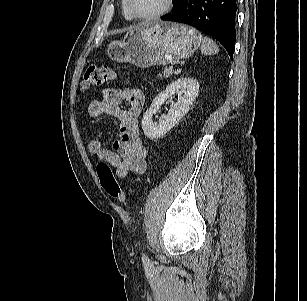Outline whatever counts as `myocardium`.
Masks as SVG:
<instances>
[{
    "instance_id": "myocardium-1",
    "label": "myocardium",
    "mask_w": 307,
    "mask_h": 301,
    "mask_svg": "<svg viewBox=\"0 0 307 301\" xmlns=\"http://www.w3.org/2000/svg\"><path fill=\"white\" fill-rule=\"evenodd\" d=\"M173 3L174 0H166L165 6L153 13V14H149V15H142L139 14L135 8L133 7L132 4V0H126V4H127V8L130 12V14L132 15L133 18L138 19V20H143V21H151V20H155V19H159L161 17H163L164 15H166L173 7Z\"/></svg>"
}]
</instances>
